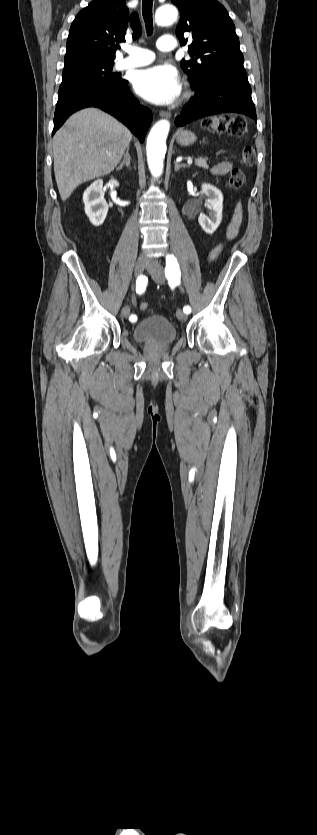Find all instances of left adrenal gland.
Wrapping results in <instances>:
<instances>
[{"label": "left adrenal gland", "mask_w": 317, "mask_h": 835, "mask_svg": "<svg viewBox=\"0 0 317 835\" xmlns=\"http://www.w3.org/2000/svg\"><path fill=\"white\" fill-rule=\"evenodd\" d=\"M174 164H175V167H174V170H175V171H179V170H180V168H185V167H188V165H186V164H179L178 162H174Z\"/></svg>", "instance_id": "a2214340"}]
</instances>
